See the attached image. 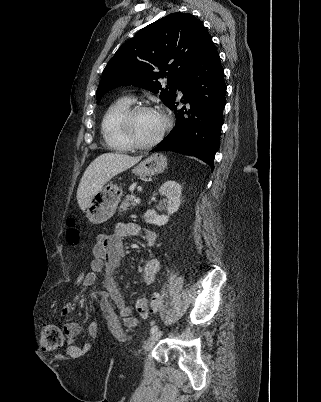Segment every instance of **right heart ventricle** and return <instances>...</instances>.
Wrapping results in <instances>:
<instances>
[{
  "mask_svg": "<svg viewBox=\"0 0 321 402\" xmlns=\"http://www.w3.org/2000/svg\"><path fill=\"white\" fill-rule=\"evenodd\" d=\"M131 100L120 98L114 101L105 111L101 120V133L105 145L117 152H127L132 147L125 141L120 130V119L131 107Z\"/></svg>",
  "mask_w": 321,
  "mask_h": 402,
  "instance_id": "1",
  "label": "right heart ventricle"
}]
</instances>
